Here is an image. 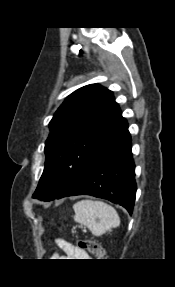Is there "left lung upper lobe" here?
I'll list each match as a JSON object with an SVG mask.
<instances>
[{
    "mask_svg": "<svg viewBox=\"0 0 175 287\" xmlns=\"http://www.w3.org/2000/svg\"><path fill=\"white\" fill-rule=\"evenodd\" d=\"M126 126L113 93L105 87L90 84L70 94L49 123L45 168L33 197L54 199Z\"/></svg>",
    "mask_w": 175,
    "mask_h": 287,
    "instance_id": "5c2ea615",
    "label": "left lung upper lobe"
}]
</instances>
